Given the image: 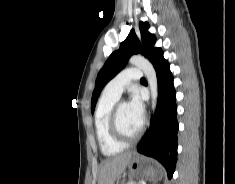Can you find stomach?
I'll list each match as a JSON object with an SVG mask.
<instances>
[{
  "instance_id": "1",
  "label": "stomach",
  "mask_w": 235,
  "mask_h": 184,
  "mask_svg": "<svg viewBox=\"0 0 235 184\" xmlns=\"http://www.w3.org/2000/svg\"><path fill=\"white\" fill-rule=\"evenodd\" d=\"M128 170L131 172L134 178H146V180H152V182H157V180H161L163 178V170L158 166V164H154V162H148V164H144V158L139 156V154H132L129 164ZM116 184H125V180H121V178H117Z\"/></svg>"
}]
</instances>
